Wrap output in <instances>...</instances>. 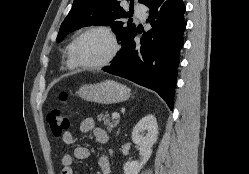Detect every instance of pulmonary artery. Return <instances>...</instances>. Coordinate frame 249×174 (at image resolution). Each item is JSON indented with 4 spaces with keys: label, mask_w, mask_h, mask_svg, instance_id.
<instances>
[{
    "label": "pulmonary artery",
    "mask_w": 249,
    "mask_h": 174,
    "mask_svg": "<svg viewBox=\"0 0 249 174\" xmlns=\"http://www.w3.org/2000/svg\"><path fill=\"white\" fill-rule=\"evenodd\" d=\"M134 13L137 18L144 20L148 12H147V9L143 5L137 4L135 5Z\"/></svg>",
    "instance_id": "obj_1"
}]
</instances>
